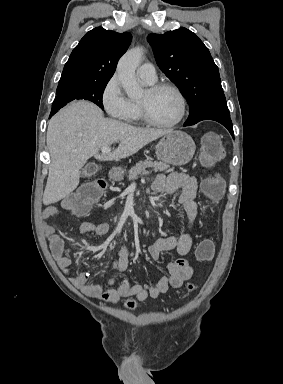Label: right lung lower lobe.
Listing matches in <instances>:
<instances>
[{"instance_id": "right-lung-lower-lobe-1", "label": "right lung lower lobe", "mask_w": 283, "mask_h": 384, "mask_svg": "<svg viewBox=\"0 0 283 384\" xmlns=\"http://www.w3.org/2000/svg\"><path fill=\"white\" fill-rule=\"evenodd\" d=\"M56 111L57 110H52L51 113H50V117H52L55 114Z\"/></svg>"}]
</instances>
